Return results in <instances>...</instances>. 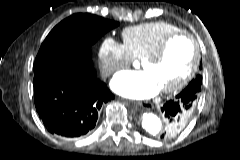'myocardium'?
Listing matches in <instances>:
<instances>
[{
	"instance_id": "1",
	"label": "myocardium",
	"mask_w": 240,
	"mask_h": 160,
	"mask_svg": "<svg viewBox=\"0 0 240 160\" xmlns=\"http://www.w3.org/2000/svg\"><path fill=\"white\" fill-rule=\"evenodd\" d=\"M180 37L186 38L187 40H189V42L192 45V48H193L192 65L188 70L187 74L181 80H179L176 84L169 87L161 88V92L163 93H174V92L180 91L181 89L186 87L194 78L198 70L200 59H201L200 49L196 39L193 37V35L185 31H177V32L170 33L159 42V44L151 53H149L148 55L144 56L141 59V64L159 61L164 56V53L168 45L174 39L180 38Z\"/></svg>"
}]
</instances>
